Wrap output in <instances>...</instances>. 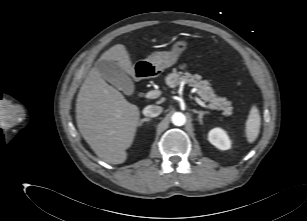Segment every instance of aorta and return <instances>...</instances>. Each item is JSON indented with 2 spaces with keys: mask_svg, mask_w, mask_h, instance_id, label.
Masks as SVG:
<instances>
[{
  "mask_svg": "<svg viewBox=\"0 0 307 221\" xmlns=\"http://www.w3.org/2000/svg\"><path fill=\"white\" fill-rule=\"evenodd\" d=\"M171 121L176 126H183L186 123V116L181 112H175L171 117Z\"/></svg>",
  "mask_w": 307,
  "mask_h": 221,
  "instance_id": "aorta-1",
  "label": "aorta"
}]
</instances>
